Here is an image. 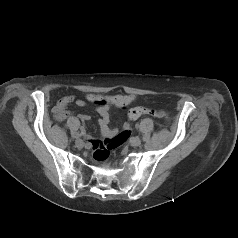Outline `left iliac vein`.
I'll return each instance as SVG.
<instances>
[{
	"label": "left iliac vein",
	"mask_w": 238,
	"mask_h": 238,
	"mask_svg": "<svg viewBox=\"0 0 238 238\" xmlns=\"http://www.w3.org/2000/svg\"><path fill=\"white\" fill-rule=\"evenodd\" d=\"M131 146H139L141 144V139L138 137L132 138L130 141Z\"/></svg>",
	"instance_id": "4c4485c4"
}]
</instances>
